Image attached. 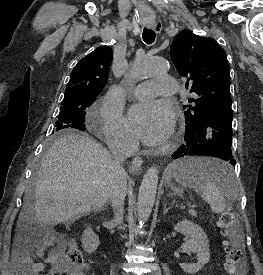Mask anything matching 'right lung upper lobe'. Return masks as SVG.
I'll return each instance as SVG.
<instances>
[{"mask_svg": "<svg viewBox=\"0 0 263 275\" xmlns=\"http://www.w3.org/2000/svg\"><path fill=\"white\" fill-rule=\"evenodd\" d=\"M112 58L113 52L109 46L98 47L82 58L71 72L64 99L79 95L100 94L106 85Z\"/></svg>", "mask_w": 263, "mask_h": 275, "instance_id": "obj_1", "label": "right lung upper lobe"}]
</instances>
